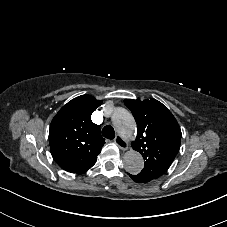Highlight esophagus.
<instances>
[{
    "label": "esophagus",
    "instance_id": "obj_1",
    "mask_svg": "<svg viewBox=\"0 0 227 227\" xmlns=\"http://www.w3.org/2000/svg\"><path fill=\"white\" fill-rule=\"evenodd\" d=\"M114 142L121 150H127L129 148V144L127 140H125L121 135L117 134L114 138Z\"/></svg>",
    "mask_w": 227,
    "mask_h": 227
}]
</instances>
